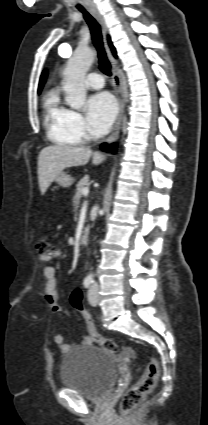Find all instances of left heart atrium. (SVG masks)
Returning <instances> with one entry per match:
<instances>
[{
  "label": "left heart atrium",
  "mask_w": 208,
  "mask_h": 425,
  "mask_svg": "<svg viewBox=\"0 0 208 425\" xmlns=\"http://www.w3.org/2000/svg\"><path fill=\"white\" fill-rule=\"evenodd\" d=\"M117 115V104L107 92L93 95L87 102V122L90 130L98 135L107 133Z\"/></svg>",
  "instance_id": "1"
}]
</instances>
